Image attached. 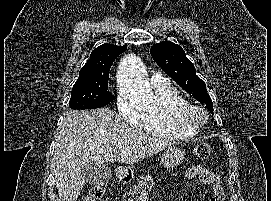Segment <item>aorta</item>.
Masks as SVG:
<instances>
[{
  "label": "aorta",
  "mask_w": 271,
  "mask_h": 201,
  "mask_svg": "<svg viewBox=\"0 0 271 201\" xmlns=\"http://www.w3.org/2000/svg\"><path fill=\"white\" fill-rule=\"evenodd\" d=\"M118 77L123 91L134 103L145 109L157 106V99L149 87L139 57L132 54L123 57L118 67Z\"/></svg>",
  "instance_id": "1"
}]
</instances>
